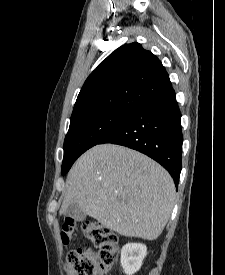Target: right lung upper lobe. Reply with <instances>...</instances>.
<instances>
[{"label": "right lung upper lobe", "mask_w": 225, "mask_h": 275, "mask_svg": "<svg viewBox=\"0 0 225 275\" xmlns=\"http://www.w3.org/2000/svg\"><path fill=\"white\" fill-rule=\"evenodd\" d=\"M174 92L161 61L139 43L126 44L109 55L86 79L71 122L111 111L131 112Z\"/></svg>", "instance_id": "1"}]
</instances>
